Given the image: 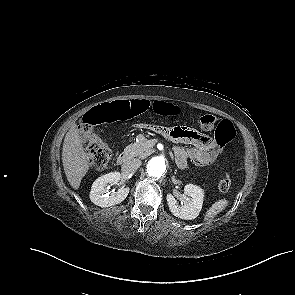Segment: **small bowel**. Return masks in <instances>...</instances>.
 Returning <instances> with one entry per match:
<instances>
[{
    "mask_svg": "<svg viewBox=\"0 0 295 295\" xmlns=\"http://www.w3.org/2000/svg\"><path fill=\"white\" fill-rule=\"evenodd\" d=\"M142 127H148L162 133L178 144L174 149V159L179 168H185L190 161L185 151L187 148L193 154L195 163L198 165L210 164L215 158L213 139L194 129L187 127L166 128L149 125H142Z\"/></svg>",
    "mask_w": 295,
    "mask_h": 295,
    "instance_id": "small-bowel-1",
    "label": "small bowel"
}]
</instances>
